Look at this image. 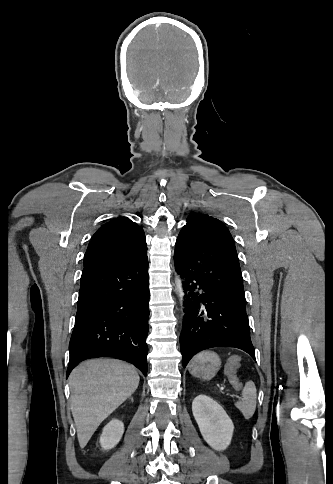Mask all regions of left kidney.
<instances>
[{"mask_svg": "<svg viewBox=\"0 0 333 484\" xmlns=\"http://www.w3.org/2000/svg\"><path fill=\"white\" fill-rule=\"evenodd\" d=\"M192 412L207 444L217 451L225 450L231 443L234 425L223 407L201 394L193 400Z\"/></svg>", "mask_w": 333, "mask_h": 484, "instance_id": "obj_1", "label": "left kidney"}]
</instances>
